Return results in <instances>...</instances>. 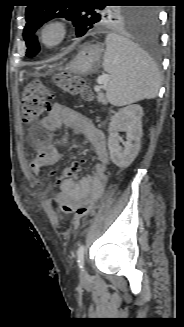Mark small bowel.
<instances>
[{
	"label": "small bowel",
	"instance_id": "obj_1",
	"mask_svg": "<svg viewBox=\"0 0 184 327\" xmlns=\"http://www.w3.org/2000/svg\"><path fill=\"white\" fill-rule=\"evenodd\" d=\"M41 125L46 131H56L62 126L73 129L82 135L93 147L97 162L92 172L80 179L74 175H78L87 165L86 159H73V154H64L69 170L65 169L62 178L59 177V170H54V166L59 162L61 155L55 145L44 139L37 140L36 155L31 162V169L35 174H41L43 170L50 171L49 175L45 174L47 185H52L55 189L60 185L59 192L55 195L54 201L59 206H65L71 203L77 206L84 200H90L95 203L102 195L106 182V169L109 164V154L106 139L101 130H99L93 122L83 114L59 102H54L48 114L42 119ZM47 187L45 184L42 186ZM48 194L50 191H44Z\"/></svg>",
	"mask_w": 184,
	"mask_h": 327
}]
</instances>
